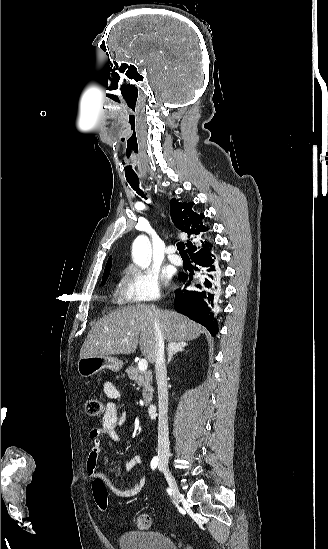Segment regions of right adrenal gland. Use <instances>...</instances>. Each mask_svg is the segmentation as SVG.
Instances as JSON below:
<instances>
[{
	"label": "right adrenal gland",
	"instance_id": "obj_1",
	"mask_svg": "<svg viewBox=\"0 0 328 549\" xmlns=\"http://www.w3.org/2000/svg\"><path fill=\"white\" fill-rule=\"evenodd\" d=\"M185 347H187V343H171V345H168V361L167 363H170L172 359V355H175V353H179V351H185Z\"/></svg>",
	"mask_w": 328,
	"mask_h": 549
}]
</instances>
